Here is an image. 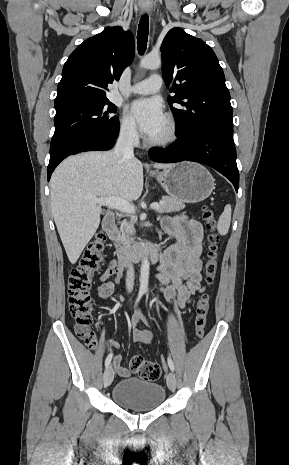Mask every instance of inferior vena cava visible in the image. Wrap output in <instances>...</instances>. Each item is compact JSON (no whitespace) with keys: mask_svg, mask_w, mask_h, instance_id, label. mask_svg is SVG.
<instances>
[{"mask_svg":"<svg viewBox=\"0 0 289 465\" xmlns=\"http://www.w3.org/2000/svg\"><path fill=\"white\" fill-rule=\"evenodd\" d=\"M137 139L136 129L129 127L120 132L117 143L114 148V154L121 158H134V142ZM134 285V267L132 264L127 266L126 286L128 292L133 290Z\"/></svg>","mask_w":289,"mask_h":465,"instance_id":"obj_1","label":"inferior vena cava"}]
</instances>
